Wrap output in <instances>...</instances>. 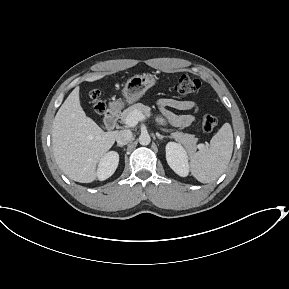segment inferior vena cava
<instances>
[{
    "label": "inferior vena cava",
    "instance_id": "inferior-vena-cava-1",
    "mask_svg": "<svg viewBox=\"0 0 289 289\" xmlns=\"http://www.w3.org/2000/svg\"><path fill=\"white\" fill-rule=\"evenodd\" d=\"M132 136L133 135L130 130H121L117 132L116 135L117 144L121 146L128 144L131 141Z\"/></svg>",
    "mask_w": 289,
    "mask_h": 289
}]
</instances>
